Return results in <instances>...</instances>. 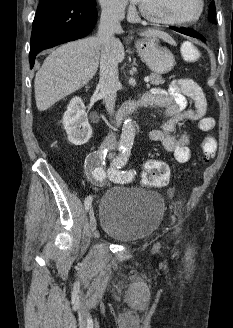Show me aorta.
Here are the masks:
<instances>
[{"label":"aorta","mask_w":233,"mask_h":328,"mask_svg":"<svg viewBox=\"0 0 233 328\" xmlns=\"http://www.w3.org/2000/svg\"><path fill=\"white\" fill-rule=\"evenodd\" d=\"M135 125L130 117H127L122 126L120 145L123 149H130L135 139Z\"/></svg>","instance_id":"762f6f07"}]
</instances>
